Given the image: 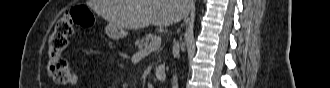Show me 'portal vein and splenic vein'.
<instances>
[{"label":"portal vein and splenic vein","mask_w":330,"mask_h":88,"mask_svg":"<svg viewBox=\"0 0 330 88\" xmlns=\"http://www.w3.org/2000/svg\"><path fill=\"white\" fill-rule=\"evenodd\" d=\"M161 45V37H158L157 40L154 43H151L150 45L145 47V51H153L160 47Z\"/></svg>","instance_id":"1"}]
</instances>
